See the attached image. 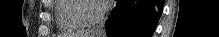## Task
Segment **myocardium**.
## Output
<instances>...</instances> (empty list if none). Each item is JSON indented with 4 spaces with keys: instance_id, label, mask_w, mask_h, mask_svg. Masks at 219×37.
<instances>
[{
    "instance_id": "obj_1",
    "label": "myocardium",
    "mask_w": 219,
    "mask_h": 37,
    "mask_svg": "<svg viewBox=\"0 0 219 37\" xmlns=\"http://www.w3.org/2000/svg\"><path fill=\"white\" fill-rule=\"evenodd\" d=\"M91 2H98L96 0H82L81 8H80V14L87 25H96L100 23L108 10L107 5L101 6V10L97 15H93L89 12V4Z\"/></svg>"
}]
</instances>
